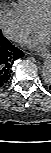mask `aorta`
<instances>
[{
    "label": "aorta",
    "mask_w": 51,
    "mask_h": 153,
    "mask_svg": "<svg viewBox=\"0 0 51 153\" xmlns=\"http://www.w3.org/2000/svg\"><path fill=\"white\" fill-rule=\"evenodd\" d=\"M42 76L46 83L51 82V62L50 60H45L43 66H42Z\"/></svg>",
    "instance_id": "obj_1"
}]
</instances>
